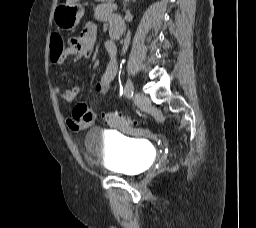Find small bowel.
I'll return each mask as SVG.
<instances>
[{"mask_svg":"<svg viewBox=\"0 0 256 228\" xmlns=\"http://www.w3.org/2000/svg\"><path fill=\"white\" fill-rule=\"evenodd\" d=\"M98 18L105 19L110 25L116 21H120L117 17L111 15L107 10H100ZM97 36V27L94 23L89 22L81 31L79 36L70 40L62 54L57 59H51L56 65H62L69 56H74L75 61L87 60L90 58ZM105 49L109 54L110 60L100 80L95 86L96 93L103 97L109 90L111 83L118 73L117 47L112 41L105 43ZM55 94L59 95L65 102H73L79 95V86H73L66 89H60L58 86L53 87ZM96 118V110L84 103L77 104L71 116L67 117L68 127L73 131H81L90 128Z\"/></svg>","mask_w":256,"mask_h":228,"instance_id":"obj_1","label":"small bowel"}]
</instances>
